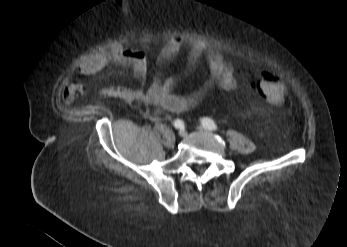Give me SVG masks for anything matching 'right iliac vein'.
<instances>
[{
  "label": "right iliac vein",
  "mask_w": 347,
  "mask_h": 247,
  "mask_svg": "<svg viewBox=\"0 0 347 247\" xmlns=\"http://www.w3.org/2000/svg\"><path fill=\"white\" fill-rule=\"evenodd\" d=\"M179 136L184 137L186 136V131L184 129L179 130Z\"/></svg>",
  "instance_id": "1"
}]
</instances>
